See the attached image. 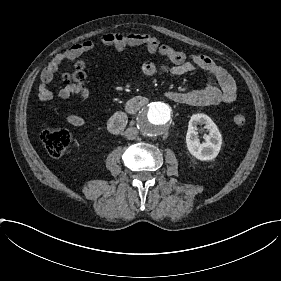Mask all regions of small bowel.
<instances>
[{"mask_svg": "<svg viewBox=\"0 0 281 281\" xmlns=\"http://www.w3.org/2000/svg\"><path fill=\"white\" fill-rule=\"evenodd\" d=\"M104 45L112 47L116 51H124L130 47H143L149 52H158L167 56L170 64H157L146 62L141 66V72L145 76H153L164 73L170 76H182L191 73L198 67L208 74V81L204 88L195 90L165 89L162 94L170 100L182 105H219L231 104L237 99V90L231 75L217 65L210 57L203 54L192 55L188 61L184 52L163 45L155 34L151 32L140 33H109L102 38ZM96 42L89 41L85 44H76L70 50L62 52L51 59L49 64L41 72V84L38 95L42 101L52 100L53 93L49 88L55 73L66 60L76 59L83 51L92 50ZM75 90L71 86L63 87L58 92V98L66 100ZM81 97H87V89L78 91ZM67 122L74 127H82L85 120L77 115H69Z\"/></svg>", "mask_w": 281, "mask_h": 281, "instance_id": "c3829d8e", "label": "small bowel"}]
</instances>
